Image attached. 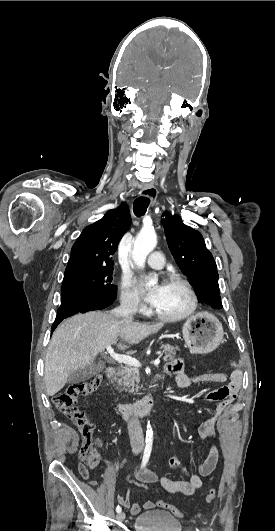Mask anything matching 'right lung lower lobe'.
Wrapping results in <instances>:
<instances>
[{"label": "right lung lower lobe", "mask_w": 275, "mask_h": 531, "mask_svg": "<svg viewBox=\"0 0 275 531\" xmlns=\"http://www.w3.org/2000/svg\"><path fill=\"white\" fill-rule=\"evenodd\" d=\"M109 303H102L94 299H90L84 295L70 294L62 296L61 305L58 309L56 319L52 325V332L63 321L77 313H85L88 311L100 310L108 307Z\"/></svg>", "instance_id": "1"}]
</instances>
